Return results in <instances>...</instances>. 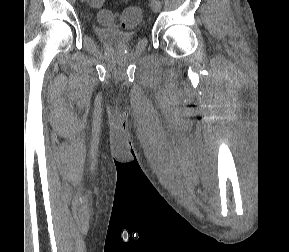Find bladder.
<instances>
[{
  "label": "bladder",
  "mask_w": 289,
  "mask_h": 252,
  "mask_svg": "<svg viewBox=\"0 0 289 252\" xmlns=\"http://www.w3.org/2000/svg\"><path fill=\"white\" fill-rule=\"evenodd\" d=\"M95 34L99 40L112 47L125 46L132 43L137 38L136 31H121L113 28L94 27Z\"/></svg>",
  "instance_id": "bladder-1"
}]
</instances>
